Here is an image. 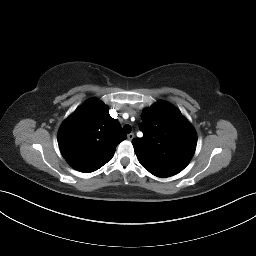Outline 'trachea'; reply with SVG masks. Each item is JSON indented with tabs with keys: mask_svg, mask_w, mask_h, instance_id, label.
I'll return each mask as SVG.
<instances>
[{
	"mask_svg": "<svg viewBox=\"0 0 256 256\" xmlns=\"http://www.w3.org/2000/svg\"><path fill=\"white\" fill-rule=\"evenodd\" d=\"M131 130H132V128H131L130 125L126 124V125L123 126V131H124L125 133H130Z\"/></svg>",
	"mask_w": 256,
	"mask_h": 256,
	"instance_id": "1",
	"label": "trachea"
}]
</instances>
